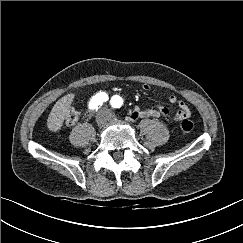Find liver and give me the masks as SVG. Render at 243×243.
Instances as JSON below:
<instances>
[{
	"mask_svg": "<svg viewBox=\"0 0 243 243\" xmlns=\"http://www.w3.org/2000/svg\"><path fill=\"white\" fill-rule=\"evenodd\" d=\"M73 99L74 94L70 93L63 96L54 104L47 119V127L50 131L56 132L61 128Z\"/></svg>",
	"mask_w": 243,
	"mask_h": 243,
	"instance_id": "6515ba94",
	"label": "liver"
}]
</instances>
